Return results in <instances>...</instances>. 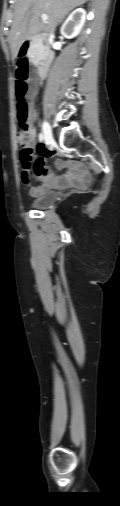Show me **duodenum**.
<instances>
[{
  "label": "duodenum",
  "mask_w": 120,
  "mask_h": 506,
  "mask_svg": "<svg viewBox=\"0 0 120 506\" xmlns=\"http://www.w3.org/2000/svg\"><path fill=\"white\" fill-rule=\"evenodd\" d=\"M46 40H47V37L41 33H37V34L29 37L28 39H26L23 42V45H21L19 47V49H18L19 56L21 58H26L28 56V50L30 49L31 46L36 45V44H42ZM52 59H53L52 52L47 51L45 53L44 57L38 62V69H39V73L41 76L45 75L48 72V69H49L50 64L52 62Z\"/></svg>",
  "instance_id": "410a0bca"
}]
</instances>
